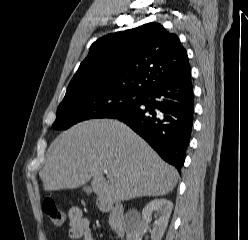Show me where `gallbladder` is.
I'll use <instances>...</instances> for the list:
<instances>
[{
  "label": "gallbladder",
  "instance_id": "gallbladder-1",
  "mask_svg": "<svg viewBox=\"0 0 248 240\" xmlns=\"http://www.w3.org/2000/svg\"><path fill=\"white\" fill-rule=\"evenodd\" d=\"M83 190H84L86 193H90V192L92 191L91 188L88 187V186H84V187H83Z\"/></svg>",
  "mask_w": 248,
  "mask_h": 240
}]
</instances>
